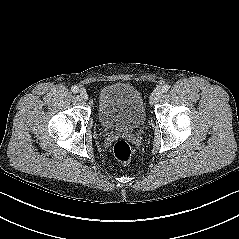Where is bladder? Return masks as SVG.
<instances>
[{
    "label": "bladder",
    "mask_w": 239,
    "mask_h": 239,
    "mask_svg": "<svg viewBox=\"0 0 239 239\" xmlns=\"http://www.w3.org/2000/svg\"><path fill=\"white\" fill-rule=\"evenodd\" d=\"M100 124L107 130L133 131L145 121L141 93L131 84L114 82L105 86L98 99Z\"/></svg>",
    "instance_id": "1"
}]
</instances>
